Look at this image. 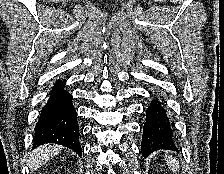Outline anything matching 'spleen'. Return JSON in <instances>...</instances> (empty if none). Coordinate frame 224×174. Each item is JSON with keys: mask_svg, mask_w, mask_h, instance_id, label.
Instances as JSON below:
<instances>
[{"mask_svg": "<svg viewBox=\"0 0 224 174\" xmlns=\"http://www.w3.org/2000/svg\"><path fill=\"white\" fill-rule=\"evenodd\" d=\"M166 163L173 171H175L178 168V162L172 159V157H168Z\"/></svg>", "mask_w": 224, "mask_h": 174, "instance_id": "spleen-1", "label": "spleen"}]
</instances>
